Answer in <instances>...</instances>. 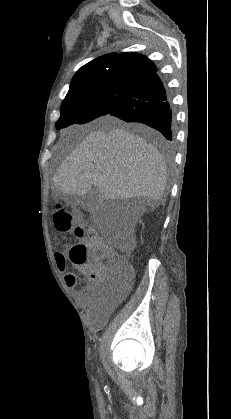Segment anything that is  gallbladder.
<instances>
[{
  "label": "gallbladder",
  "instance_id": "gallbladder-1",
  "mask_svg": "<svg viewBox=\"0 0 231 419\" xmlns=\"http://www.w3.org/2000/svg\"><path fill=\"white\" fill-rule=\"evenodd\" d=\"M63 199L66 201H70L72 204L76 206L80 205L83 207L94 208L101 198L98 189L91 188L86 195L77 197L74 200H72L73 197L68 194H64Z\"/></svg>",
  "mask_w": 231,
  "mask_h": 419
}]
</instances>
